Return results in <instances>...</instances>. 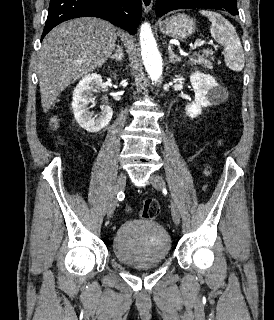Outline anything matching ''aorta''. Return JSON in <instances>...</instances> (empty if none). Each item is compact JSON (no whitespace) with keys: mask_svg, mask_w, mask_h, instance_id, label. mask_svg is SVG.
Instances as JSON below:
<instances>
[{"mask_svg":"<svg viewBox=\"0 0 274 320\" xmlns=\"http://www.w3.org/2000/svg\"><path fill=\"white\" fill-rule=\"evenodd\" d=\"M140 45L145 69L152 81H157L162 75V59L148 23L140 27Z\"/></svg>","mask_w":274,"mask_h":320,"instance_id":"obj_1","label":"aorta"}]
</instances>
